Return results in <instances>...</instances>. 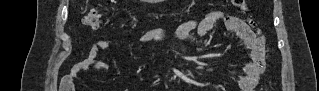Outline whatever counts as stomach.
<instances>
[{
    "label": "stomach",
    "mask_w": 319,
    "mask_h": 91,
    "mask_svg": "<svg viewBox=\"0 0 319 91\" xmlns=\"http://www.w3.org/2000/svg\"><path fill=\"white\" fill-rule=\"evenodd\" d=\"M150 1L156 2V1H158V0H150Z\"/></svg>",
    "instance_id": "0dacf381"
}]
</instances>
